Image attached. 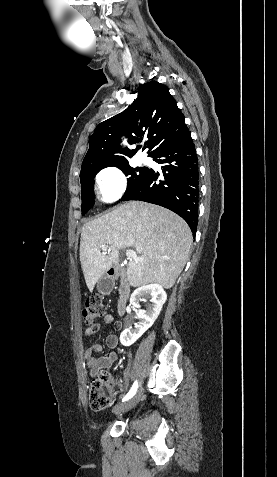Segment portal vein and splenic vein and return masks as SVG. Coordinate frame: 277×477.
Returning <instances> with one entry per match:
<instances>
[{"mask_svg":"<svg viewBox=\"0 0 277 477\" xmlns=\"http://www.w3.org/2000/svg\"><path fill=\"white\" fill-rule=\"evenodd\" d=\"M108 247H109L108 245H102L100 248H101L102 250H107ZM126 256L131 257V258H134V259H137V258H138L136 252H135L134 250H130V249L126 251Z\"/></svg>","mask_w":277,"mask_h":477,"instance_id":"18ae733b","label":"portal vein and splenic vein"}]
</instances>
